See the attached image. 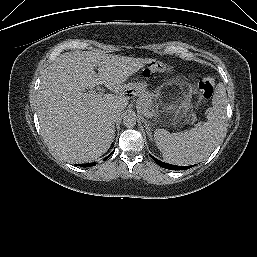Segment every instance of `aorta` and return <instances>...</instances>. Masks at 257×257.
Masks as SVG:
<instances>
[{
  "instance_id": "obj_1",
  "label": "aorta",
  "mask_w": 257,
  "mask_h": 257,
  "mask_svg": "<svg viewBox=\"0 0 257 257\" xmlns=\"http://www.w3.org/2000/svg\"><path fill=\"white\" fill-rule=\"evenodd\" d=\"M137 117L135 113H128L123 117V124L127 128H132L136 125Z\"/></svg>"
}]
</instances>
